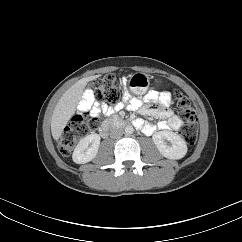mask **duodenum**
Segmentation results:
<instances>
[{
	"label": "duodenum",
	"mask_w": 242,
	"mask_h": 242,
	"mask_svg": "<svg viewBox=\"0 0 242 242\" xmlns=\"http://www.w3.org/2000/svg\"><path fill=\"white\" fill-rule=\"evenodd\" d=\"M133 121L131 120H124L119 118H111L109 121L105 123V126L102 129V136L106 137L111 127H125V126H132Z\"/></svg>",
	"instance_id": "410a0bca"
}]
</instances>
